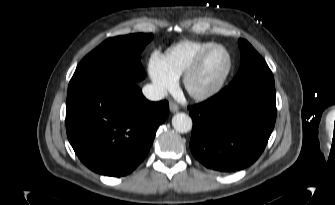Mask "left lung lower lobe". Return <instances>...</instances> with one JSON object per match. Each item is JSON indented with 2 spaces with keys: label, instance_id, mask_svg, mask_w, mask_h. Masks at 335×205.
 <instances>
[{
  "label": "left lung lower lobe",
  "instance_id": "1",
  "mask_svg": "<svg viewBox=\"0 0 335 205\" xmlns=\"http://www.w3.org/2000/svg\"><path fill=\"white\" fill-rule=\"evenodd\" d=\"M275 86L262 82L229 84L207 101L189 107L190 149L205 167L235 172L264 151L276 120Z\"/></svg>",
  "mask_w": 335,
  "mask_h": 205
}]
</instances>
